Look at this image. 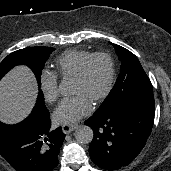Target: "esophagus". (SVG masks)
Returning <instances> with one entry per match:
<instances>
[{
  "instance_id": "esophagus-1",
  "label": "esophagus",
  "mask_w": 171,
  "mask_h": 171,
  "mask_svg": "<svg viewBox=\"0 0 171 171\" xmlns=\"http://www.w3.org/2000/svg\"><path fill=\"white\" fill-rule=\"evenodd\" d=\"M77 125L75 124H64L62 125V132L64 134H69L72 131H74L76 129Z\"/></svg>"
}]
</instances>
